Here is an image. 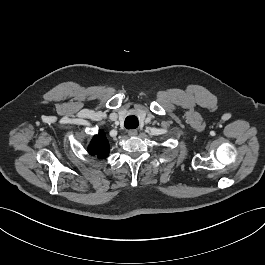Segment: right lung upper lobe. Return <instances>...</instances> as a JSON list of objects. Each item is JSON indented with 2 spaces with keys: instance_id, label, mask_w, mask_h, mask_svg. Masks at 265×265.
Segmentation results:
<instances>
[{
  "instance_id": "1",
  "label": "right lung upper lobe",
  "mask_w": 265,
  "mask_h": 265,
  "mask_svg": "<svg viewBox=\"0 0 265 265\" xmlns=\"http://www.w3.org/2000/svg\"><path fill=\"white\" fill-rule=\"evenodd\" d=\"M91 155H96L99 159L106 158L109 155V143L104 132L95 135L88 146Z\"/></svg>"
}]
</instances>
